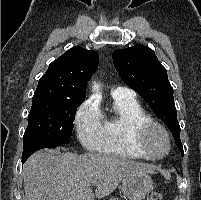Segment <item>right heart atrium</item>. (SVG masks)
<instances>
[{"label":"right heart atrium","mask_w":201,"mask_h":200,"mask_svg":"<svg viewBox=\"0 0 201 200\" xmlns=\"http://www.w3.org/2000/svg\"><path fill=\"white\" fill-rule=\"evenodd\" d=\"M74 124L83 146L89 150H97L101 138V113L91 100L80 106Z\"/></svg>","instance_id":"d8ad5b80"}]
</instances>
